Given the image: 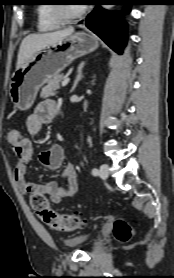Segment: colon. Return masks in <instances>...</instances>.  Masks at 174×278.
<instances>
[{"instance_id": "obj_1", "label": "colon", "mask_w": 174, "mask_h": 278, "mask_svg": "<svg viewBox=\"0 0 174 278\" xmlns=\"http://www.w3.org/2000/svg\"><path fill=\"white\" fill-rule=\"evenodd\" d=\"M22 135L17 130L8 133V142L12 145L18 142ZM30 204L35 214L50 228L58 231H73L85 226L83 217L78 214H59L53 211L47 199L40 193L30 194ZM114 236L120 241H127L132 235V229L128 223L117 220L113 226Z\"/></svg>"}]
</instances>
